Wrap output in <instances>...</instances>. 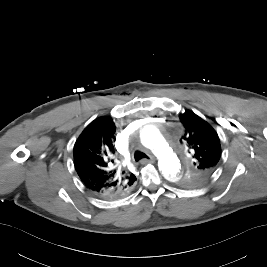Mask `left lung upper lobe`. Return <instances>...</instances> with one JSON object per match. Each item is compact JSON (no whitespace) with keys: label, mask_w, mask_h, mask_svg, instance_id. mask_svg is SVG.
Returning a JSON list of instances; mask_svg holds the SVG:
<instances>
[{"label":"left lung upper lobe","mask_w":267,"mask_h":267,"mask_svg":"<svg viewBox=\"0 0 267 267\" xmlns=\"http://www.w3.org/2000/svg\"><path fill=\"white\" fill-rule=\"evenodd\" d=\"M179 118L185 128L180 141L187 145L193 158L180 184L197 187L204 184L217 169L221 156L220 140L216 131L194 112L186 110Z\"/></svg>","instance_id":"1"}]
</instances>
